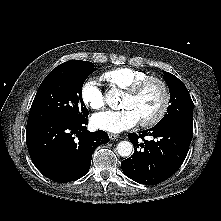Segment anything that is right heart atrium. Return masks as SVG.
Here are the masks:
<instances>
[{"label": "right heart atrium", "mask_w": 221, "mask_h": 221, "mask_svg": "<svg viewBox=\"0 0 221 221\" xmlns=\"http://www.w3.org/2000/svg\"><path fill=\"white\" fill-rule=\"evenodd\" d=\"M82 102L92 110H100L105 105V96L95 78L87 79L80 91Z\"/></svg>", "instance_id": "d8ad5b80"}]
</instances>
